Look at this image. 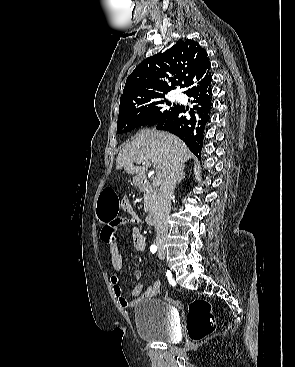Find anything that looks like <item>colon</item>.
I'll return each instance as SVG.
<instances>
[{"mask_svg": "<svg viewBox=\"0 0 295 367\" xmlns=\"http://www.w3.org/2000/svg\"><path fill=\"white\" fill-rule=\"evenodd\" d=\"M122 202L111 187H105L100 195L98 219L108 223L117 219ZM216 328L211 305L204 299H196L189 305L187 313V331L191 340L201 341L211 335Z\"/></svg>", "mask_w": 295, "mask_h": 367, "instance_id": "obj_1", "label": "colon"}]
</instances>
